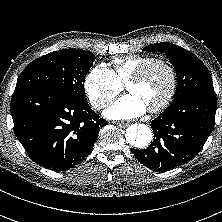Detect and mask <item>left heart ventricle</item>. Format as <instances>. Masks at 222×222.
Returning <instances> with one entry per match:
<instances>
[{
    "label": "left heart ventricle",
    "instance_id": "obj_1",
    "mask_svg": "<svg viewBox=\"0 0 222 222\" xmlns=\"http://www.w3.org/2000/svg\"><path fill=\"white\" fill-rule=\"evenodd\" d=\"M169 87V72L165 67L156 65L150 69L142 81L129 84L127 90L137 95L149 109L163 100Z\"/></svg>",
    "mask_w": 222,
    "mask_h": 222
}]
</instances>
